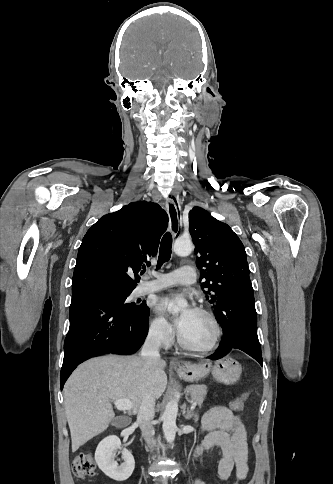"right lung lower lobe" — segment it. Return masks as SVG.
<instances>
[{
    "label": "right lung lower lobe",
    "mask_w": 333,
    "mask_h": 484,
    "mask_svg": "<svg viewBox=\"0 0 333 484\" xmlns=\"http://www.w3.org/2000/svg\"><path fill=\"white\" fill-rule=\"evenodd\" d=\"M149 314L138 317L118 308L100 290L72 294L70 327L64 342L61 389L84 360L103 354H133L143 344Z\"/></svg>",
    "instance_id": "right-lung-lower-lobe-1"
}]
</instances>
